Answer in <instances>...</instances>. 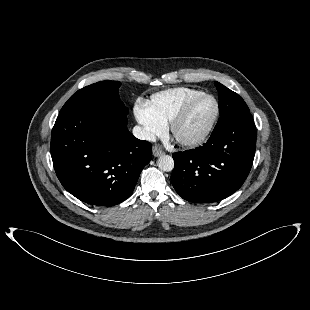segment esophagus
Masks as SVG:
<instances>
[{
	"label": "esophagus",
	"mask_w": 310,
	"mask_h": 310,
	"mask_svg": "<svg viewBox=\"0 0 310 310\" xmlns=\"http://www.w3.org/2000/svg\"><path fill=\"white\" fill-rule=\"evenodd\" d=\"M163 153H164L163 150H162L159 146H157V145L153 146V155H154L155 157H159V156H161Z\"/></svg>",
	"instance_id": "34e87169"
}]
</instances>
